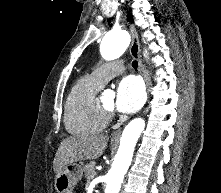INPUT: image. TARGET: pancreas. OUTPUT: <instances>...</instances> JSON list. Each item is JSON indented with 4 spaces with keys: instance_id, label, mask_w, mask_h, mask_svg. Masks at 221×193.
<instances>
[{
    "instance_id": "pancreas-1",
    "label": "pancreas",
    "mask_w": 221,
    "mask_h": 193,
    "mask_svg": "<svg viewBox=\"0 0 221 193\" xmlns=\"http://www.w3.org/2000/svg\"><path fill=\"white\" fill-rule=\"evenodd\" d=\"M95 162L91 161L83 166V172L84 176L87 180H91L94 178V172H95Z\"/></svg>"
}]
</instances>
